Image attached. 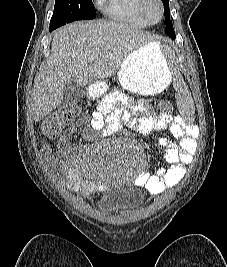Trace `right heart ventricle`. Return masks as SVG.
Here are the masks:
<instances>
[{"label": "right heart ventricle", "instance_id": "obj_1", "mask_svg": "<svg viewBox=\"0 0 227 267\" xmlns=\"http://www.w3.org/2000/svg\"><path fill=\"white\" fill-rule=\"evenodd\" d=\"M98 5L103 14L113 21L136 26L149 24L139 11V0H99Z\"/></svg>", "mask_w": 227, "mask_h": 267}]
</instances>
